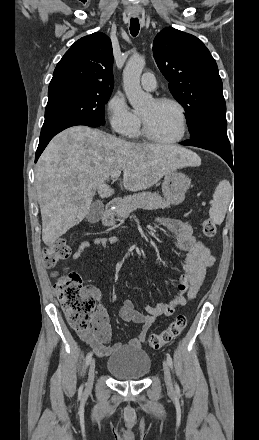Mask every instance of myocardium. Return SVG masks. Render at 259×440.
Masks as SVG:
<instances>
[{
  "instance_id": "1",
  "label": "myocardium",
  "mask_w": 259,
  "mask_h": 440,
  "mask_svg": "<svg viewBox=\"0 0 259 440\" xmlns=\"http://www.w3.org/2000/svg\"><path fill=\"white\" fill-rule=\"evenodd\" d=\"M153 101L156 104H172L177 108V110L179 112V117H180L181 130H180L179 135L172 138V139L159 138L158 136H156L152 132L147 120L141 115L140 118H141V123H142V131H143L145 137L152 142H155L158 144H163V145H170V144H175V143L180 142L185 137L186 132H187V128H188L186 111H185L184 106L178 100H176L174 98H169V97H160V98L154 99Z\"/></svg>"
}]
</instances>
